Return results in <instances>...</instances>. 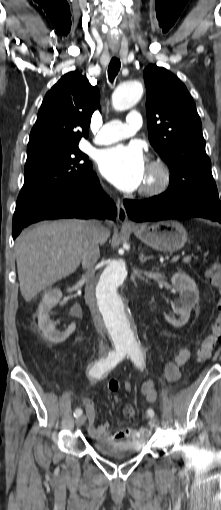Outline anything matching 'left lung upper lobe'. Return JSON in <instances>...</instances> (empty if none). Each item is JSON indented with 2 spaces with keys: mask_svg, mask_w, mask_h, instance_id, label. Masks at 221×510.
Wrapping results in <instances>:
<instances>
[{
  "mask_svg": "<svg viewBox=\"0 0 221 510\" xmlns=\"http://www.w3.org/2000/svg\"><path fill=\"white\" fill-rule=\"evenodd\" d=\"M151 145L170 169L167 198H216L202 124L185 85L171 72L149 65L143 72Z\"/></svg>",
  "mask_w": 221,
  "mask_h": 510,
  "instance_id": "left-lung-upper-lobe-1",
  "label": "left lung upper lobe"
}]
</instances>
